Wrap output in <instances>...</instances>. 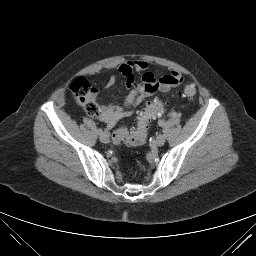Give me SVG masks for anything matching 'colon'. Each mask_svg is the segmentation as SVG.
<instances>
[{"label": "colon", "mask_w": 256, "mask_h": 256, "mask_svg": "<svg viewBox=\"0 0 256 256\" xmlns=\"http://www.w3.org/2000/svg\"><path fill=\"white\" fill-rule=\"evenodd\" d=\"M70 91L74 98L83 106L86 113L93 117L101 115V108L95 101V89L84 77H78L70 84ZM183 97L192 98L196 95V88L187 85L182 91ZM164 104L161 100L155 99L146 104L138 118L137 129L127 131L119 129L113 134L115 144L127 143L130 145H141L147 139L149 124L156 117L163 113Z\"/></svg>", "instance_id": "obj_1"}]
</instances>
